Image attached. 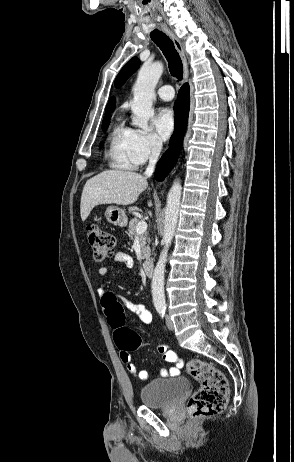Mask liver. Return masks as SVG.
<instances>
[{"label": "liver", "mask_w": 294, "mask_h": 462, "mask_svg": "<svg viewBox=\"0 0 294 462\" xmlns=\"http://www.w3.org/2000/svg\"><path fill=\"white\" fill-rule=\"evenodd\" d=\"M146 177L133 171L107 170L90 178L81 195L80 213L85 221L101 204L130 205L147 188Z\"/></svg>", "instance_id": "1"}]
</instances>
